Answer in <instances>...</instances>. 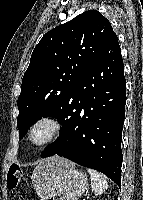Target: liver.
I'll use <instances>...</instances> for the list:
<instances>
[{
  "instance_id": "6515ba94",
  "label": "liver",
  "mask_w": 143,
  "mask_h": 200,
  "mask_svg": "<svg viewBox=\"0 0 143 200\" xmlns=\"http://www.w3.org/2000/svg\"><path fill=\"white\" fill-rule=\"evenodd\" d=\"M72 165L70 161L59 156L46 158L35 167L32 174V183L38 196H42L50 177L64 166Z\"/></svg>"
}]
</instances>
